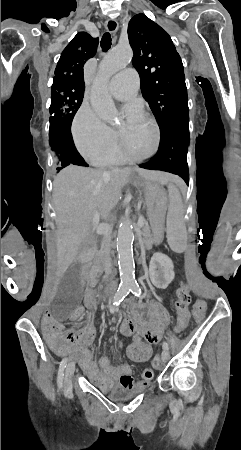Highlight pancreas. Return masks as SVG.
I'll use <instances>...</instances> for the list:
<instances>
[{
	"mask_svg": "<svg viewBox=\"0 0 241 450\" xmlns=\"http://www.w3.org/2000/svg\"><path fill=\"white\" fill-rule=\"evenodd\" d=\"M149 231H150L149 227H142V232H143L142 241H143V243H145L147 245V249L151 250L152 246H153L154 238H153V236H151V234H149ZM112 244H113V242H111V238H104V240H102L101 248L97 254V260H98L99 264H101V268H100V270H97V272H95V270H91V272H90L91 280H90L89 284H97L98 280H96V278H97L96 274H98V272H100V274H102V272H104L106 266H109V264H111L110 252H111Z\"/></svg>",
	"mask_w": 241,
	"mask_h": 450,
	"instance_id": "pancreas-1",
	"label": "pancreas"
}]
</instances>
